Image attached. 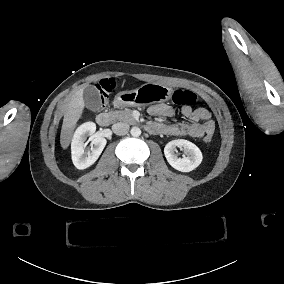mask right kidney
Wrapping results in <instances>:
<instances>
[{
	"label": "right kidney",
	"instance_id": "1",
	"mask_svg": "<svg viewBox=\"0 0 284 284\" xmlns=\"http://www.w3.org/2000/svg\"><path fill=\"white\" fill-rule=\"evenodd\" d=\"M96 131V125L93 122H86L80 125L73 136L71 143V154L74 166L77 169H86L91 166L102 153L106 139L96 137L93 139V148L85 150L84 142L88 136H92Z\"/></svg>",
	"mask_w": 284,
	"mask_h": 284
}]
</instances>
